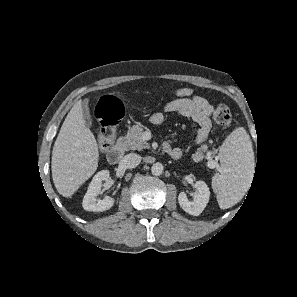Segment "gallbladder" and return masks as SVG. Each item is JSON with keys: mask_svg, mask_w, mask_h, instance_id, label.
<instances>
[{"mask_svg": "<svg viewBox=\"0 0 297 297\" xmlns=\"http://www.w3.org/2000/svg\"><path fill=\"white\" fill-rule=\"evenodd\" d=\"M88 102H89V100H86L85 103L83 104V117H84V120L86 122V125L91 126L92 122H93V119H92V117L90 115V112H89Z\"/></svg>", "mask_w": 297, "mask_h": 297, "instance_id": "gallbladder-1", "label": "gallbladder"}]
</instances>
